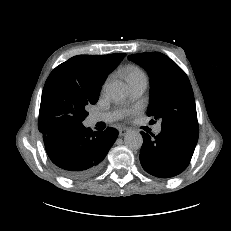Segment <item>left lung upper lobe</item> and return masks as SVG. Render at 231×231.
Here are the masks:
<instances>
[{
    "instance_id": "left-lung-upper-lobe-1",
    "label": "left lung upper lobe",
    "mask_w": 231,
    "mask_h": 231,
    "mask_svg": "<svg viewBox=\"0 0 231 231\" xmlns=\"http://www.w3.org/2000/svg\"><path fill=\"white\" fill-rule=\"evenodd\" d=\"M150 77L147 115L162 122V127L199 131L195 99L186 73L169 57L159 52L129 55Z\"/></svg>"
}]
</instances>
